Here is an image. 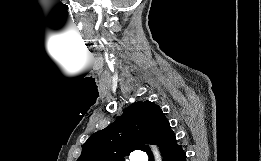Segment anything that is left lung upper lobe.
I'll return each instance as SVG.
<instances>
[{
  "instance_id": "obj_1",
  "label": "left lung upper lobe",
  "mask_w": 261,
  "mask_h": 161,
  "mask_svg": "<svg viewBox=\"0 0 261 161\" xmlns=\"http://www.w3.org/2000/svg\"><path fill=\"white\" fill-rule=\"evenodd\" d=\"M173 133L158 105L139 101L103 130L94 133L82 145L77 161H125V156L139 149L147 154L150 149L143 143L159 146Z\"/></svg>"
}]
</instances>
